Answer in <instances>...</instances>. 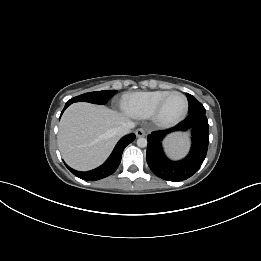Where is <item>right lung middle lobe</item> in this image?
<instances>
[{"label": "right lung middle lobe", "instance_id": "obj_1", "mask_svg": "<svg viewBox=\"0 0 261 261\" xmlns=\"http://www.w3.org/2000/svg\"><path fill=\"white\" fill-rule=\"evenodd\" d=\"M116 93V90H103L89 92L70 99L67 103L70 105L74 102H89L93 104H105Z\"/></svg>", "mask_w": 261, "mask_h": 261}]
</instances>
